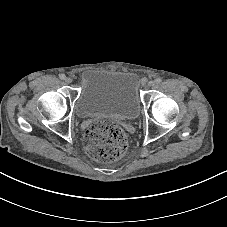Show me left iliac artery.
<instances>
[{
    "instance_id": "obj_1",
    "label": "left iliac artery",
    "mask_w": 227,
    "mask_h": 227,
    "mask_svg": "<svg viewBox=\"0 0 227 227\" xmlns=\"http://www.w3.org/2000/svg\"><path fill=\"white\" fill-rule=\"evenodd\" d=\"M155 81H156V83H160L162 81V79L161 78H157Z\"/></svg>"
}]
</instances>
